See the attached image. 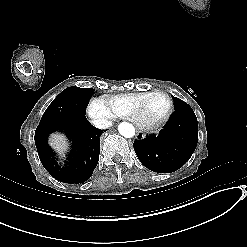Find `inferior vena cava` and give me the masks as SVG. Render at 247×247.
<instances>
[{
	"mask_svg": "<svg viewBox=\"0 0 247 247\" xmlns=\"http://www.w3.org/2000/svg\"><path fill=\"white\" fill-rule=\"evenodd\" d=\"M93 124L98 129H107L112 126V121L107 119H97L94 120Z\"/></svg>",
	"mask_w": 247,
	"mask_h": 247,
	"instance_id": "1",
	"label": "inferior vena cava"
}]
</instances>
